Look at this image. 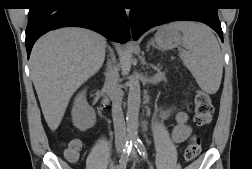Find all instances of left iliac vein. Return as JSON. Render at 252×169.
<instances>
[{
	"label": "left iliac vein",
	"instance_id": "left-iliac-vein-1",
	"mask_svg": "<svg viewBox=\"0 0 252 169\" xmlns=\"http://www.w3.org/2000/svg\"><path fill=\"white\" fill-rule=\"evenodd\" d=\"M131 159H132L134 162H138V156H137V152H136L135 150L132 151Z\"/></svg>",
	"mask_w": 252,
	"mask_h": 169
}]
</instances>
